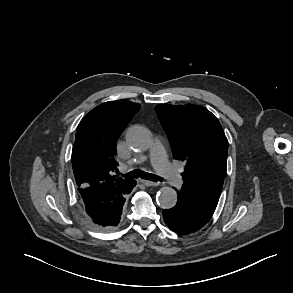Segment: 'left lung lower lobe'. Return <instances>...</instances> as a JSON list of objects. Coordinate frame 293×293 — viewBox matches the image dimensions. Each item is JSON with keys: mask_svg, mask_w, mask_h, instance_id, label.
<instances>
[{"mask_svg": "<svg viewBox=\"0 0 293 293\" xmlns=\"http://www.w3.org/2000/svg\"><path fill=\"white\" fill-rule=\"evenodd\" d=\"M215 209L180 190L176 205L171 209H165L163 217L172 231L186 235L203 227L212 217Z\"/></svg>", "mask_w": 293, "mask_h": 293, "instance_id": "1", "label": "left lung lower lobe"}]
</instances>
